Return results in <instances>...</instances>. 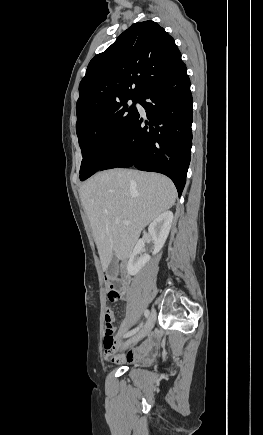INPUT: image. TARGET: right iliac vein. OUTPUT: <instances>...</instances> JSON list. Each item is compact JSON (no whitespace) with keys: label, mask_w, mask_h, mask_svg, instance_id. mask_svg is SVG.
I'll use <instances>...</instances> for the list:
<instances>
[{"label":"right iliac vein","mask_w":263,"mask_h":435,"mask_svg":"<svg viewBox=\"0 0 263 435\" xmlns=\"http://www.w3.org/2000/svg\"><path fill=\"white\" fill-rule=\"evenodd\" d=\"M155 311L152 310V313L150 315V317L148 318L146 324L143 326V328L133 337H131L125 344H124V348H127L131 343L137 342L140 339H142L143 337H145L153 328L154 326V322H155Z\"/></svg>","instance_id":"63e3f726"}]
</instances>
